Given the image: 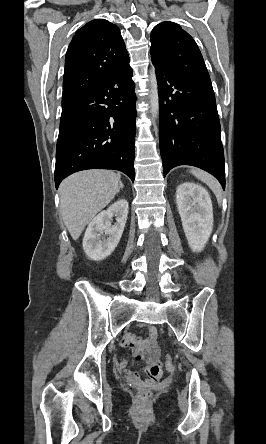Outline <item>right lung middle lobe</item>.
<instances>
[{
  "instance_id": "right-lung-middle-lobe-1",
  "label": "right lung middle lobe",
  "mask_w": 266,
  "mask_h": 444,
  "mask_svg": "<svg viewBox=\"0 0 266 444\" xmlns=\"http://www.w3.org/2000/svg\"><path fill=\"white\" fill-rule=\"evenodd\" d=\"M68 104L62 102V108L66 107Z\"/></svg>"
}]
</instances>
